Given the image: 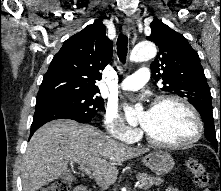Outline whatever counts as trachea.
I'll return each mask as SVG.
<instances>
[{
	"label": "trachea",
	"instance_id": "obj_1",
	"mask_svg": "<svg viewBox=\"0 0 221 191\" xmlns=\"http://www.w3.org/2000/svg\"><path fill=\"white\" fill-rule=\"evenodd\" d=\"M127 44H128V37L121 33L117 39V54L122 63H125L126 61V56L128 51Z\"/></svg>",
	"mask_w": 221,
	"mask_h": 191
}]
</instances>
